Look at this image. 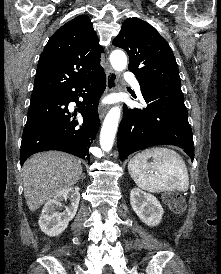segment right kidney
I'll list each match as a JSON object with an SVG mask.
<instances>
[{"instance_id":"ca27d5eb","label":"right kidney","mask_w":221,"mask_h":274,"mask_svg":"<svg viewBox=\"0 0 221 274\" xmlns=\"http://www.w3.org/2000/svg\"><path fill=\"white\" fill-rule=\"evenodd\" d=\"M69 200L70 205L62 213L57 211L63 201ZM80 201L79 187H69L57 193L47 201L39 218L40 229L48 236H56L62 233L77 212Z\"/></svg>"}]
</instances>
